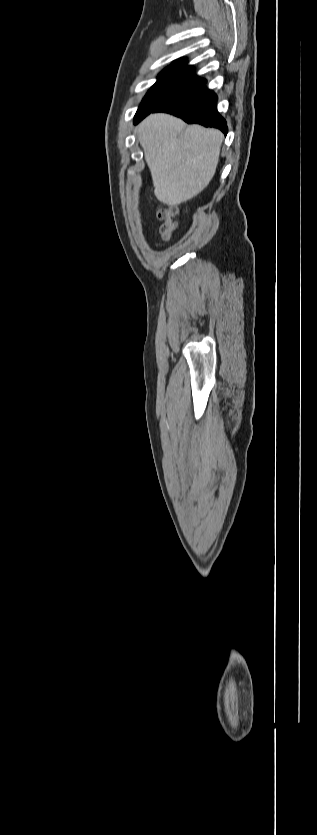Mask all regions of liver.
<instances>
[{"label": "liver", "instance_id": "6515ba94", "mask_svg": "<svg viewBox=\"0 0 317 835\" xmlns=\"http://www.w3.org/2000/svg\"><path fill=\"white\" fill-rule=\"evenodd\" d=\"M138 140L150 169L154 193L167 205H178L198 195L213 178L223 134L199 125L187 126L165 113L145 118Z\"/></svg>", "mask_w": 317, "mask_h": 835}]
</instances>
